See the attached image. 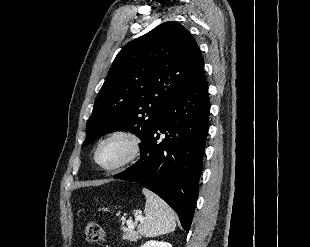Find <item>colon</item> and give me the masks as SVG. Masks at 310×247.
I'll return each instance as SVG.
<instances>
[{
  "instance_id": "5ec220e1",
  "label": "colon",
  "mask_w": 310,
  "mask_h": 247,
  "mask_svg": "<svg viewBox=\"0 0 310 247\" xmlns=\"http://www.w3.org/2000/svg\"><path fill=\"white\" fill-rule=\"evenodd\" d=\"M84 237L88 242L97 243L103 240L104 231L95 221H88L85 226Z\"/></svg>"
}]
</instances>
